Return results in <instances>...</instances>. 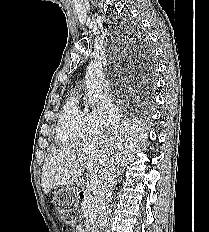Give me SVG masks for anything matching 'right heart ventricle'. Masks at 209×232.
<instances>
[{
  "label": "right heart ventricle",
  "instance_id": "obj_1",
  "mask_svg": "<svg viewBox=\"0 0 209 232\" xmlns=\"http://www.w3.org/2000/svg\"><path fill=\"white\" fill-rule=\"evenodd\" d=\"M94 134L90 113L79 106L77 95H70L59 115L56 141L70 145L90 139Z\"/></svg>",
  "mask_w": 209,
  "mask_h": 232
}]
</instances>
